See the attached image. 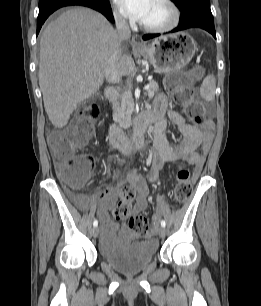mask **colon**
Wrapping results in <instances>:
<instances>
[{
    "label": "colon",
    "mask_w": 261,
    "mask_h": 306,
    "mask_svg": "<svg viewBox=\"0 0 261 306\" xmlns=\"http://www.w3.org/2000/svg\"><path fill=\"white\" fill-rule=\"evenodd\" d=\"M192 81V77L183 72L172 73L166 79L174 102L189 105L190 118L200 123L202 114L197 107L191 105L194 95ZM99 114L100 111L96 105H84L73 122L53 140L55 154L64 165L59 172L60 179L70 187L84 184L89 176L91 160L88 157L77 156L75 153L84 149L90 142ZM176 176L177 183L173 198L177 203H184L192 192L190 172L186 166L182 165L178 168ZM134 198V190L130 186H125L112 214L118 220L129 216L128 225L131 230L138 234H148L150 232L148 220L142 215L132 214Z\"/></svg>",
    "instance_id": "obj_1"
}]
</instances>
